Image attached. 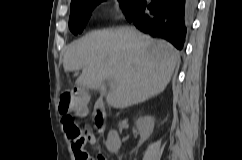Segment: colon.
I'll list each match as a JSON object with an SVG mask.
<instances>
[{
    "mask_svg": "<svg viewBox=\"0 0 242 160\" xmlns=\"http://www.w3.org/2000/svg\"><path fill=\"white\" fill-rule=\"evenodd\" d=\"M86 96L82 92L76 90H64L60 96L59 111L63 114L62 124L68 137L72 140L73 145L76 149L86 142L81 126L74 120L71 115L78 110L86 108ZM79 160H93L87 152L80 151L78 154ZM99 160H104L99 157Z\"/></svg>",
    "mask_w": 242,
    "mask_h": 160,
    "instance_id": "5ec220e1",
    "label": "colon"
}]
</instances>
